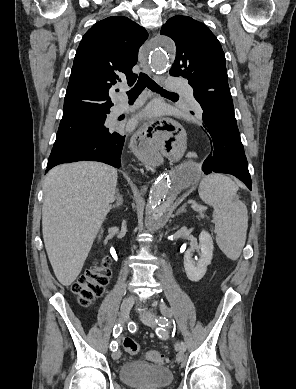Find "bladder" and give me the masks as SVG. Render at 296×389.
<instances>
[{"mask_svg": "<svg viewBox=\"0 0 296 389\" xmlns=\"http://www.w3.org/2000/svg\"><path fill=\"white\" fill-rule=\"evenodd\" d=\"M120 380L135 389H162L173 381L172 372L163 365L141 361L125 362L119 370Z\"/></svg>", "mask_w": 296, "mask_h": 389, "instance_id": "1", "label": "bladder"}]
</instances>
